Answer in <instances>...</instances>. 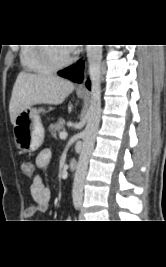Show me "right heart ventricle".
<instances>
[{
  "mask_svg": "<svg viewBox=\"0 0 166 267\" xmlns=\"http://www.w3.org/2000/svg\"><path fill=\"white\" fill-rule=\"evenodd\" d=\"M36 44L24 45L20 49V62L28 71L35 73H48L53 70L47 65L39 54V47Z\"/></svg>",
  "mask_w": 166,
  "mask_h": 267,
  "instance_id": "right-heart-ventricle-1",
  "label": "right heart ventricle"
}]
</instances>
